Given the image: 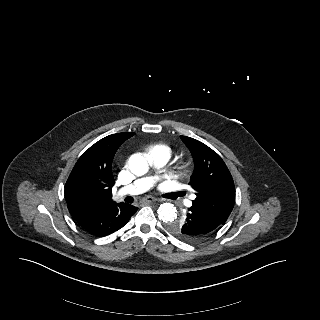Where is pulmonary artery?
Returning a JSON list of instances; mask_svg holds the SVG:
<instances>
[{
  "label": "pulmonary artery",
  "mask_w": 320,
  "mask_h": 320,
  "mask_svg": "<svg viewBox=\"0 0 320 320\" xmlns=\"http://www.w3.org/2000/svg\"><path fill=\"white\" fill-rule=\"evenodd\" d=\"M170 154L165 151H154L148 154V160L155 169L163 168L169 161ZM156 177H144L135 180L133 183L121 188L117 192L118 197L124 195H137L149 190L155 183ZM191 205V202H189Z\"/></svg>",
  "instance_id": "pulmonary-artery-1"
}]
</instances>
